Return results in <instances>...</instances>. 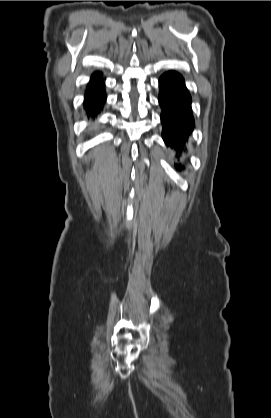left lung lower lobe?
Returning <instances> with one entry per match:
<instances>
[{
  "label": "left lung lower lobe",
  "mask_w": 271,
  "mask_h": 418,
  "mask_svg": "<svg viewBox=\"0 0 271 418\" xmlns=\"http://www.w3.org/2000/svg\"><path fill=\"white\" fill-rule=\"evenodd\" d=\"M159 104L162 108V137L167 146L181 151L194 128L191 96L183 77L174 71L164 73L159 80ZM181 170V166L177 165Z\"/></svg>",
  "instance_id": "0a47b994"
}]
</instances>
